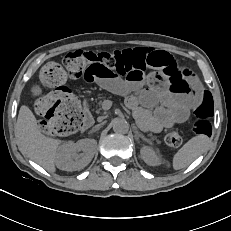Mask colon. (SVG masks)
Listing matches in <instances>:
<instances>
[{
	"label": "colon",
	"mask_w": 231,
	"mask_h": 231,
	"mask_svg": "<svg viewBox=\"0 0 231 231\" xmlns=\"http://www.w3.org/2000/svg\"><path fill=\"white\" fill-rule=\"evenodd\" d=\"M98 64L121 75H133L149 68L159 69L167 78L172 91L191 94L197 100L194 107V132L205 135L210 130L213 102L210 92L191 85L185 70L166 53H155L150 48H134L104 52L77 50L66 54L63 65L48 62L40 70L42 85L50 92L38 98L36 112L43 116L41 128L49 136L67 135L82 126V112L76 98L65 86L69 78L82 77L87 68ZM171 147H179L182 136L176 130L165 136Z\"/></svg>",
	"instance_id": "colon-1"
}]
</instances>
